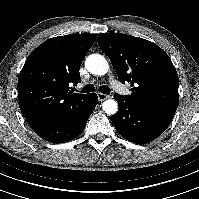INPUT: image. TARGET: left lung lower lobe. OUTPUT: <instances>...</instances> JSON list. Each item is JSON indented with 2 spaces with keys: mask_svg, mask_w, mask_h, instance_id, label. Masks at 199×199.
Listing matches in <instances>:
<instances>
[{
  "mask_svg": "<svg viewBox=\"0 0 199 199\" xmlns=\"http://www.w3.org/2000/svg\"><path fill=\"white\" fill-rule=\"evenodd\" d=\"M114 98L119 109L111 117L112 123L118 133L130 142L149 143L160 136L171 123L172 118L137 106L124 96L115 94Z\"/></svg>",
  "mask_w": 199,
  "mask_h": 199,
  "instance_id": "1",
  "label": "left lung lower lobe"
}]
</instances>
